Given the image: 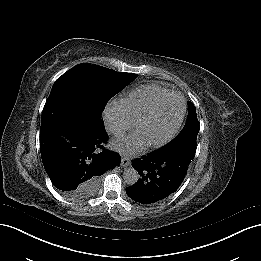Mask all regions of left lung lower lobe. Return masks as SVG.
Segmentation results:
<instances>
[{"label":"left lung lower lobe","instance_id":"1","mask_svg":"<svg viewBox=\"0 0 261 261\" xmlns=\"http://www.w3.org/2000/svg\"><path fill=\"white\" fill-rule=\"evenodd\" d=\"M195 152L183 146L163 147L132 161L139 181L126 188L127 195L141 204L166 200L183 182Z\"/></svg>","mask_w":261,"mask_h":261}]
</instances>
